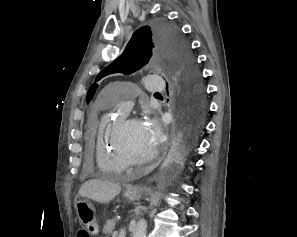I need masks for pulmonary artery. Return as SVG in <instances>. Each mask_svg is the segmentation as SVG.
<instances>
[{"mask_svg": "<svg viewBox=\"0 0 297 237\" xmlns=\"http://www.w3.org/2000/svg\"><path fill=\"white\" fill-rule=\"evenodd\" d=\"M144 83L148 92L162 91L165 88L160 76H149ZM135 94L133 89L125 87L119 92L117 97L111 99V103L119 107L122 113H126L133 104L132 100Z\"/></svg>", "mask_w": 297, "mask_h": 237, "instance_id": "e3ab8cb5", "label": "pulmonary artery"}]
</instances>
